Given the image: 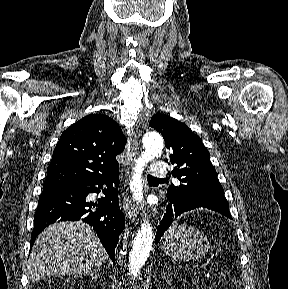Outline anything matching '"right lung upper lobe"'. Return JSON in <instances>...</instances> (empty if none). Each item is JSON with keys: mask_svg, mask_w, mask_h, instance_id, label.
<instances>
[{"mask_svg": "<svg viewBox=\"0 0 288 289\" xmlns=\"http://www.w3.org/2000/svg\"><path fill=\"white\" fill-rule=\"evenodd\" d=\"M126 138L110 117L90 114L65 130L57 143L43 189L72 184L119 167Z\"/></svg>", "mask_w": 288, "mask_h": 289, "instance_id": "right-lung-upper-lobe-1", "label": "right lung upper lobe"}]
</instances>
